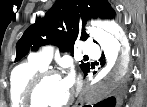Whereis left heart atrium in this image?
I'll return each mask as SVG.
<instances>
[{
    "instance_id": "obj_1",
    "label": "left heart atrium",
    "mask_w": 147,
    "mask_h": 107,
    "mask_svg": "<svg viewBox=\"0 0 147 107\" xmlns=\"http://www.w3.org/2000/svg\"><path fill=\"white\" fill-rule=\"evenodd\" d=\"M63 80H64L66 87L69 90H71V88L73 87V77L71 75H68L65 78H63Z\"/></svg>"
}]
</instances>
